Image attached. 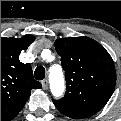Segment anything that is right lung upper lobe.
Instances as JSON below:
<instances>
[{
    "instance_id": "cb5924a9",
    "label": "right lung upper lobe",
    "mask_w": 121,
    "mask_h": 121,
    "mask_svg": "<svg viewBox=\"0 0 121 121\" xmlns=\"http://www.w3.org/2000/svg\"><path fill=\"white\" fill-rule=\"evenodd\" d=\"M34 40L32 35L1 37V121L12 120L25 105L31 89L41 88V83L33 79L30 64L19 61L21 50Z\"/></svg>"
}]
</instances>
